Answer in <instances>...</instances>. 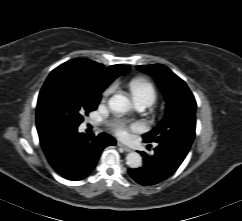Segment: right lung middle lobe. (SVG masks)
I'll list each match as a JSON object with an SVG mask.
<instances>
[{"mask_svg": "<svg viewBox=\"0 0 242 221\" xmlns=\"http://www.w3.org/2000/svg\"><path fill=\"white\" fill-rule=\"evenodd\" d=\"M101 93L63 79L52 80L40 92L37 124L76 128L84 115L97 109Z\"/></svg>", "mask_w": 242, "mask_h": 221, "instance_id": "right-lung-middle-lobe-1", "label": "right lung middle lobe"}]
</instances>
